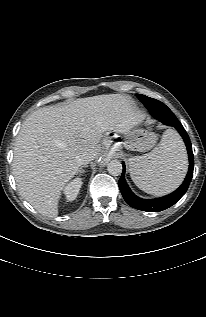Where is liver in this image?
I'll use <instances>...</instances> for the list:
<instances>
[{
	"label": "liver",
	"instance_id": "obj_1",
	"mask_svg": "<svg viewBox=\"0 0 206 317\" xmlns=\"http://www.w3.org/2000/svg\"><path fill=\"white\" fill-rule=\"evenodd\" d=\"M144 118L122 94L37 109L22 123L14 146L13 174L20 195L42 215L56 217L61 191L79 170V154L97 156L103 134L126 133Z\"/></svg>",
	"mask_w": 206,
	"mask_h": 317
}]
</instances>
